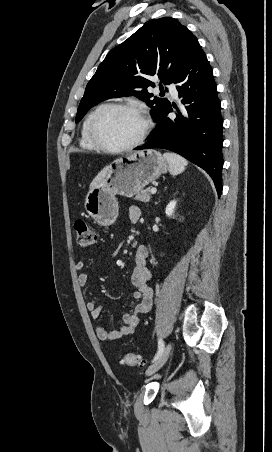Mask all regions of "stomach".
<instances>
[{"mask_svg": "<svg viewBox=\"0 0 272 452\" xmlns=\"http://www.w3.org/2000/svg\"><path fill=\"white\" fill-rule=\"evenodd\" d=\"M166 171L167 162L156 150L135 151L117 158L103 181L86 195V212L99 225H112L119 211L116 195L132 197Z\"/></svg>", "mask_w": 272, "mask_h": 452, "instance_id": "1", "label": "stomach"}]
</instances>
